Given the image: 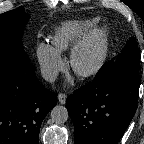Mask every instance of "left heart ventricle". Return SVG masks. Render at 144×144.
<instances>
[{"label": "left heart ventricle", "instance_id": "left-heart-ventricle-1", "mask_svg": "<svg viewBox=\"0 0 144 144\" xmlns=\"http://www.w3.org/2000/svg\"><path fill=\"white\" fill-rule=\"evenodd\" d=\"M96 51L94 49H90L81 59V64L82 65H87L89 64L95 57Z\"/></svg>", "mask_w": 144, "mask_h": 144}]
</instances>
